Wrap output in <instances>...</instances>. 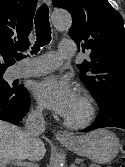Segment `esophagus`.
Here are the masks:
<instances>
[{
	"label": "esophagus",
	"instance_id": "esophagus-1",
	"mask_svg": "<svg viewBox=\"0 0 125 167\" xmlns=\"http://www.w3.org/2000/svg\"><path fill=\"white\" fill-rule=\"evenodd\" d=\"M43 2H45L46 4H50V0H43ZM55 137L57 140H71L73 139V136L65 131L62 130H58L55 132Z\"/></svg>",
	"mask_w": 125,
	"mask_h": 167
}]
</instances>
